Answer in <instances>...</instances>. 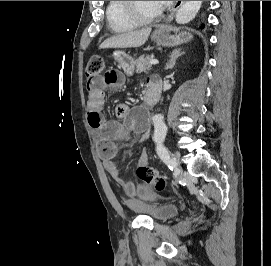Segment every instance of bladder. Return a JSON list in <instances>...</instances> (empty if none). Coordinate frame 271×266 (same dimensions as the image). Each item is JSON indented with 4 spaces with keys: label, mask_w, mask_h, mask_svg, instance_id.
Returning <instances> with one entry per match:
<instances>
[{
    "label": "bladder",
    "mask_w": 271,
    "mask_h": 266,
    "mask_svg": "<svg viewBox=\"0 0 271 266\" xmlns=\"http://www.w3.org/2000/svg\"><path fill=\"white\" fill-rule=\"evenodd\" d=\"M144 210H145V215L147 217H150L151 219L155 221H165L175 216L179 211V207L176 205L169 204V205L148 207Z\"/></svg>",
    "instance_id": "1"
}]
</instances>
